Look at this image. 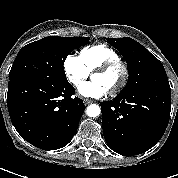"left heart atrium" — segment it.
Returning a JSON list of instances; mask_svg holds the SVG:
<instances>
[{
  "label": "left heart atrium",
  "instance_id": "obj_1",
  "mask_svg": "<svg viewBox=\"0 0 178 178\" xmlns=\"http://www.w3.org/2000/svg\"><path fill=\"white\" fill-rule=\"evenodd\" d=\"M78 92L86 98H101L108 93V89L100 82L91 80L78 87Z\"/></svg>",
  "mask_w": 178,
  "mask_h": 178
}]
</instances>
